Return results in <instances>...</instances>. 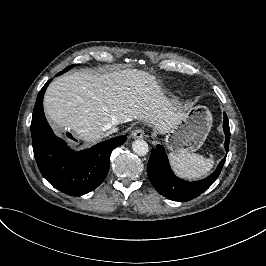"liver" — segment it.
Returning <instances> with one entry per match:
<instances>
[{
  "label": "liver",
  "instance_id": "liver-1",
  "mask_svg": "<svg viewBox=\"0 0 266 266\" xmlns=\"http://www.w3.org/2000/svg\"><path fill=\"white\" fill-rule=\"evenodd\" d=\"M44 109L51 122L91 143L133 119L145 120L167 134L185 118L181 108L163 102L150 74L120 68L100 75L76 72L57 78L46 91Z\"/></svg>",
  "mask_w": 266,
  "mask_h": 266
}]
</instances>
